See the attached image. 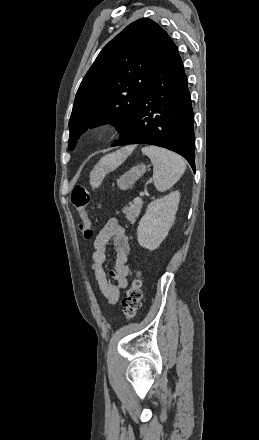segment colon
I'll return each mask as SVG.
<instances>
[{
  "label": "colon",
  "mask_w": 259,
  "mask_h": 440,
  "mask_svg": "<svg viewBox=\"0 0 259 440\" xmlns=\"http://www.w3.org/2000/svg\"><path fill=\"white\" fill-rule=\"evenodd\" d=\"M70 200L74 208L78 212L81 222L80 230L85 239H91L93 230L91 228V221L87 212V206L90 202V194L83 185H75L70 194ZM142 281L140 274L137 273L132 280L130 288L126 292L123 299V313L127 320L135 317L137 311L141 307L142 299Z\"/></svg>",
  "instance_id": "obj_1"
}]
</instances>
